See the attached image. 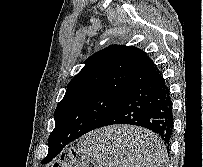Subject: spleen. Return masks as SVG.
I'll return each mask as SVG.
<instances>
[{
  "instance_id": "1",
  "label": "spleen",
  "mask_w": 203,
  "mask_h": 167,
  "mask_svg": "<svg viewBox=\"0 0 203 167\" xmlns=\"http://www.w3.org/2000/svg\"><path fill=\"white\" fill-rule=\"evenodd\" d=\"M109 132L96 131L85 136L78 148L79 152L93 157L105 167H167V152L162 141L154 136L148 137L142 148L143 157L135 164L119 160L115 154L114 143Z\"/></svg>"
}]
</instances>
